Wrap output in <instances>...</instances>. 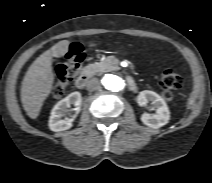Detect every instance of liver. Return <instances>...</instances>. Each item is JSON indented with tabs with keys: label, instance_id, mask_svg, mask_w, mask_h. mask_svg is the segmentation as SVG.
I'll return each instance as SVG.
<instances>
[{
	"label": "liver",
	"instance_id": "6515ba94",
	"mask_svg": "<svg viewBox=\"0 0 212 183\" xmlns=\"http://www.w3.org/2000/svg\"><path fill=\"white\" fill-rule=\"evenodd\" d=\"M70 42L63 40L42 53L29 67L21 86V102L31 119H36L41 107L52 91L54 73L52 58L62 57L69 50ZM96 44L90 43L89 46Z\"/></svg>",
	"mask_w": 212,
	"mask_h": 183
}]
</instances>
